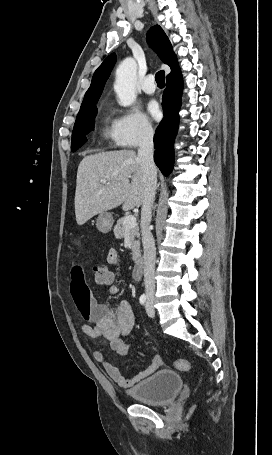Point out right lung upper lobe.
Masks as SVG:
<instances>
[{"instance_id":"right-lung-upper-lobe-1","label":"right lung upper lobe","mask_w":272,"mask_h":455,"mask_svg":"<svg viewBox=\"0 0 272 455\" xmlns=\"http://www.w3.org/2000/svg\"><path fill=\"white\" fill-rule=\"evenodd\" d=\"M147 41L158 53L161 60L170 66L171 72L167 75L166 79L181 73L172 45L159 25H155L148 31ZM115 62L116 55L115 53H112L97 68L93 75L91 85L84 96L81 108L97 103Z\"/></svg>"}]
</instances>
